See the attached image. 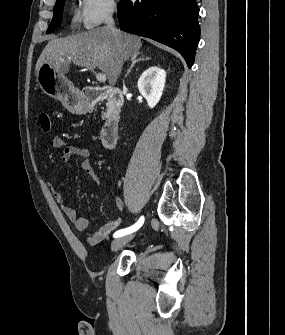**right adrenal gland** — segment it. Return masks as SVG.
<instances>
[{"label": "right adrenal gland", "mask_w": 285, "mask_h": 335, "mask_svg": "<svg viewBox=\"0 0 285 335\" xmlns=\"http://www.w3.org/2000/svg\"><path fill=\"white\" fill-rule=\"evenodd\" d=\"M136 56H140V58H138V60H136ZM145 60H151V58H143V56H141V54H138V52H137V54H134V56H132V58H131L132 64H131L129 70H127V74H125V78H127V76H129V74H130L132 68H134L135 64H138V62H145Z\"/></svg>", "instance_id": "right-adrenal-gland-1"}]
</instances>
